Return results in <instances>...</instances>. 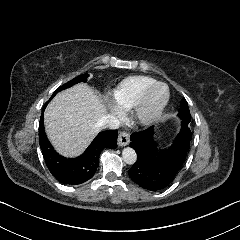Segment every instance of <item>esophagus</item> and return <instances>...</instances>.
Wrapping results in <instances>:
<instances>
[{
  "instance_id": "obj_1",
  "label": "esophagus",
  "mask_w": 240,
  "mask_h": 240,
  "mask_svg": "<svg viewBox=\"0 0 240 240\" xmlns=\"http://www.w3.org/2000/svg\"><path fill=\"white\" fill-rule=\"evenodd\" d=\"M130 142V135L126 132H121L118 136V145L120 147L127 146Z\"/></svg>"
}]
</instances>
